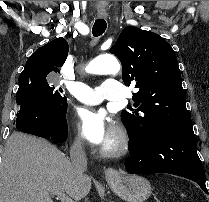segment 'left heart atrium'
Returning a JSON list of instances; mask_svg holds the SVG:
<instances>
[{"instance_id": "1", "label": "left heart atrium", "mask_w": 209, "mask_h": 202, "mask_svg": "<svg viewBox=\"0 0 209 202\" xmlns=\"http://www.w3.org/2000/svg\"><path fill=\"white\" fill-rule=\"evenodd\" d=\"M81 136L90 144L104 146L116 134V127L109 116L91 107H81L76 112Z\"/></svg>"}]
</instances>
